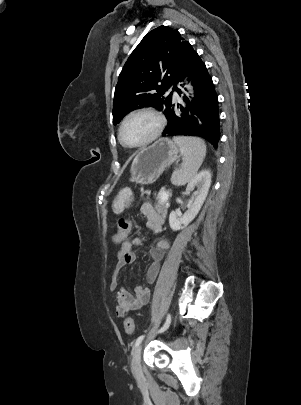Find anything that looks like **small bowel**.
I'll use <instances>...</instances> for the list:
<instances>
[{
    "label": "small bowel",
    "mask_w": 301,
    "mask_h": 405,
    "mask_svg": "<svg viewBox=\"0 0 301 405\" xmlns=\"http://www.w3.org/2000/svg\"><path fill=\"white\" fill-rule=\"evenodd\" d=\"M141 213L146 217V226L155 233H161L163 230L164 217L158 212L152 204L145 202L140 208ZM143 240L140 237H135L131 240L125 238L122 246L117 253V261L112 273L110 282V291L116 301V315L124 317L127 313L140 310L149 302L150 289L146 286L138 285L134 288V294H131L123 287L118 286V273L126 264H131L136 261L137 255L135 248L140 247ZM169 248V243L166 239H159L154 247L149 251L151 264L148 267L146 279L149 283H153L160 271L161 261L165 251Z\"/></svg>",
    "instance_id": "obj_1"
}]
</instances>
